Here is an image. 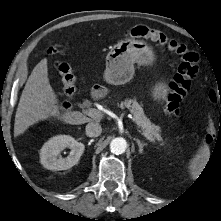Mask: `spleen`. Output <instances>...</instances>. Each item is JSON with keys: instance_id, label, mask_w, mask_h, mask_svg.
<instances>
[{"instance_id": "1", "label": "spleen", "mask_w": 221, "mask_h": 221, "mask_svg": "<svg viewBox=\"0 0 221 221\" xmlns=\"http://www.w3.org/2000/svg\"><path fill=\"white\" fill-rule=\"evenodd\" d=\"M210 157V148L204 143L202 144L196 155L189 162V170L192 177H196L205 167L208 159Z\"/></svg>"}]
</instances>
